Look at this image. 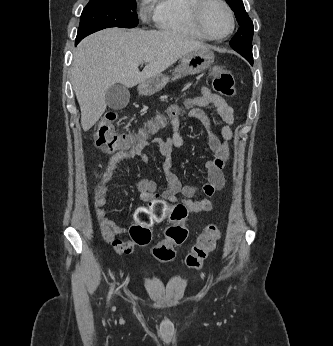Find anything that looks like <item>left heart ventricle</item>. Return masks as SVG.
<instances>
[{
	"mask_svg": "<svg viewBox=\"0 0 333 346\" xmlns=\"http://www.w3.org/2000/svg\"><path fill=\"white\" fill-rule=\"evenodd\" d=\"M207 29L216 36L224 35L230 29V19L226 10L218 3H211L204 12Z\"/></svg>",
	"mask_w": 333,
	"mask_h": 346,
	"instance_id": "obj_1",
	"label": "left heart ventricle"
}]
</instances>
